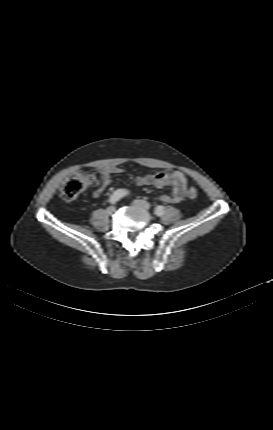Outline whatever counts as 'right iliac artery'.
<instances>
[{
  "label": "right iliac artery",
  "mask_w": 273,
  "mask_h": 430,
  "mask_svg": "<svg viewBox=\"0 0 273 430\" xmlns=\"http://www.w3.org/2000/svg\"><path fill=\"white\" fill-rule=\"evenodd\" d=\"M129 192L126 189H118L114 191L109 198V202L111 204H115L117 201H119L121 198L126 196Z\"/></svg>",
  "instance_id": "1"
}]
</instances>
